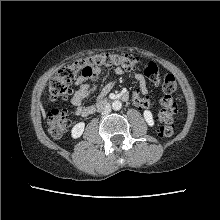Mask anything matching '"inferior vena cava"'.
Listing matches in <instances>:
<instances>
[{"mask_svg":"<svg viewBox=\"0 0 220 220\" xmlns=\"http://www.w3.org/2000/svg\"><path fill=\"white\" fill-rule=\"evenodd\" d=\"M98 110L102 113V114H107L111 111V106L109 103L105 104L102 107H99Z\"/></svg>","mask_w":220,"mask_h":220,"instance_id":"obj_1","label":"inferior vena cava"}]
</instances>
